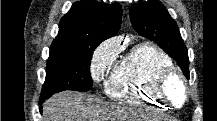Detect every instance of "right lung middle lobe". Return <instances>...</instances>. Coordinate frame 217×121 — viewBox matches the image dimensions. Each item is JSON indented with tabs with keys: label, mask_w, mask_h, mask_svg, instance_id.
<instances>
[{
	"label": "right lung middle lobe",
	"mask_w": 217,
	"mask_h": 121,
	"mask_svg": "<svg viewBox=\"0 0 217 121\" xmlns=\"http://www.w3.org/2000/svg\"><path fill=\"white\" fill-rule=\"evenodd\" d=\"M98 41L53 43L40 99L63 90L89 91L92 88L90 62Z\"/></svg>",
	"instance_id": "1"
}]
</instances>
